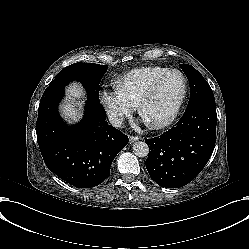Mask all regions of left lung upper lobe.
<instances>
[{"instance_id": "1", "label": "left lung upper lobe", "mask_w": 249, "mask_h": 249, "mask_svg": "<svg viewBox=\"0 0 249 249\" xmlns=\"http://www.w3.org/2000/svg\"><path fill=\"white\" fill-rule=\"evenodd\" d=\"M190 83V100L187 108L205 101H215L212 89L200 72L188 64H180Z\"/></svg>"}]
</instances>
